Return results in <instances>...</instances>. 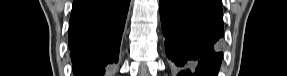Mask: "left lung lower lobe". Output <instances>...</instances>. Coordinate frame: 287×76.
I'll list each match as a JSON object with an SVG mask.
<instances>
[{"label": "left lung lower lobe", "instance_id": "0a47b994", "mask_svg": "<svg viewBox=\"0 0 287 76\" xmlns=\"http://www.w3.org/2000/svg\"><path fill=\"white\" fill-rule=\"evenodd\" d=\"M166 56L178 76H215L223 53L220 0H160Z\"/></svg>", "mask_w": 287, "mask_h": 76}]
</instances>
